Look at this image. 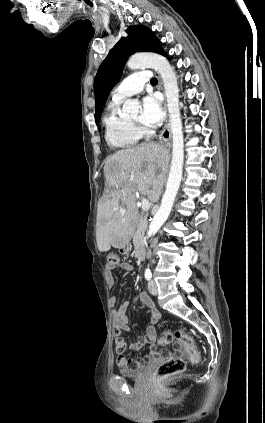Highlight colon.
<instances>
[{
	"instance_id": "colon-1",
	"label": "colon",
	"mask_w": 265,
	"mask_h": 423,
	"mask_svg": "<svg viewBox=\"0 0 265 423\" xmlns=\"http://www.w3.org/2000/svg\"><path fill=\"white\" fill-rule=\"evenodd\" d=\"M108 264L117 265L119 263V257L115 252L108 254ZM176 341L177 347L182 349L190 358L197 360L199 358L198 352L194 348L192 337L184 330L179 329L175 332L164 330L159 335L160 344H170ZM125 367L134 368L137 367L132 361H126L121 363ZM185 359L182 357H171L161 363L154 373V377L157 381H161L166 377L174 374L181 373L185 370Z\"/></svg>"
}]
</instances>
